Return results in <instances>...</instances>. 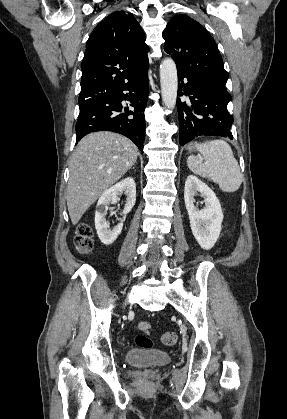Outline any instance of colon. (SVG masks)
Listing matches in <instances>:
<instances>
[{
    "label": "colon",
    "instance_id": "obj_1",
    "mask_svg": "<svg viewBox=\"0 0 287 419\" xmlns=\"http://www.w3.org/2000/svg\"><path fill=\"white\" fill-rule=\"evenodd\" d=\"M75 246L78 251L82 253L89 252L93 247V236L90 227L86 224H82L75 237ZM177 334L173 331H168L162 334L161 342L166 346H174L177 343ZM136 344L141 348L149 349L152 347L151 339L144 335L139 334L136 336Z\"/></svg>",
    "mask_w": 287,
    "mask_h": 419
}]
</instances>
